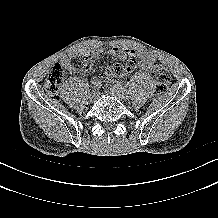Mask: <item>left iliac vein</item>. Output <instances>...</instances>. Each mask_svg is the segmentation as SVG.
Masks as SVG:
<instances>
[{"label": "left iliac vein", "mask_w": 218, "mask_h": 218, "mask_svg": "<svg viewBox=\"0 0 218 218\" xmlns=\"http://www.w3.org/2000/svg\"><path fill=\"white\" fill-rule=\"evenodd\" d=\"M105 92L117 97L120 101L125 100L124 93H121L120 89H117L114 86L109 87Z\"/></svg>", "instance_id": "1"}]
</instances>
